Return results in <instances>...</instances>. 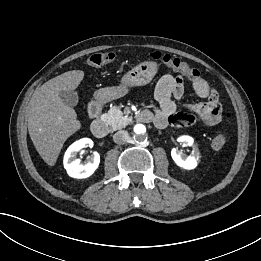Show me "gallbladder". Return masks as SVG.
<instances>
[{
  "instance_id": "1",
  "label": "gallbladder",
  "mask_w": 261,
  "mask_h": 261,
  "mask_svg": "<svg viewBox=\"0 0 261 261\" xmlns=\"http://www.w3.org/2000/svg\"><path fill=\"white\" fill-rule=\"evenodd\" d=\"M59 97L61 98L62 102L70 107H74L78 103V94L77 92L71 91H60Z\"/></svg>"
}]
</instances>
